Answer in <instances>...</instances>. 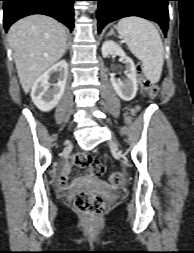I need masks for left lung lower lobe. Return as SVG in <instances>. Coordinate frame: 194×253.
I'll return each instance as SVG.
<instances>
[{
    "mask_svg": "<svg viewBox=\"0 0 194 253\" xmlns=\"http://www.w3.org/2000/svg\"><path fill=\"white\" fill-rule=\"evenodd\" d=\"M99 2L98 32L109 22L127 16H139L160 25L164 35L168 27V1L170 0H96Z\"/></svg>",
    "mask_w": 194,
    "mask_h": 253,
    "instance_id": "obj_1",
    "label": "left lung lower lobe"
}]
</instances>
